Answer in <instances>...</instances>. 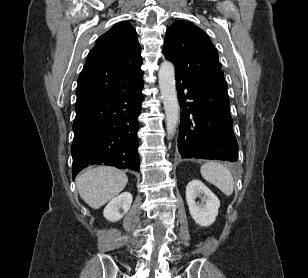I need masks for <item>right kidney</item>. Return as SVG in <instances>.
Masks as SVG:
<instances>
[{
  "label": "right kidney",
  "instance_id": "obj_1",
  "mask_svg": "<svg viewBox=\"0 0 308 278\" xmlns=\"http://www.w3.org/2000/svg\"><path fill=\"white\" fill-rule=\"evenodd\" d=\"M132 203V195L124 192L112 199L103 211L104 217L111 221H119L130 209Z\"/></svg>",
  "mask_w": 308,
  "mask_h": 278
}]
</instances>
